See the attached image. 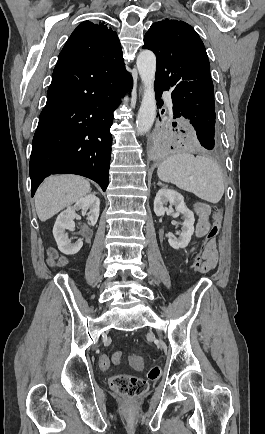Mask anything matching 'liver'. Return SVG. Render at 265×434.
I'll return each instance as SVG.
<instances>
[{"mask_svg":"<svg viewBox=\"0 0 265 434\" xmlns=\"http://www.w3.org/2000/svg\"><path fill=\"white\" fill-rule=\"evenodd\" d=\"M91 192L90 182L81 176H50L35 194V208L41 222H46L67 206Z\"/></svg>","mask_w":265,"mask_h":434,"instance_id":"6515ba94","label":"liver"}]
</instances>
